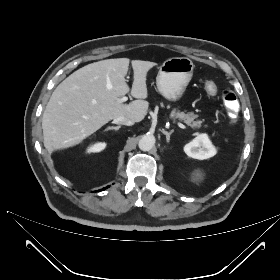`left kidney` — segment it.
Instances as JSON below:
<instances>
[{
	"label": "left kidney",
	"instance_id": "left-kidney-1",
	"mask_svg": "<svg viewBox=\"0 0 280 280\" xmlns=\"http://www.w3.org/2000/svg\"><path fill=\"white\" fill-rule=\"evenodd\" d=\"M184 152L191 158L204 160L213 157L217 151L207 134H200L184 146Z\"/></svg>",
	"mask_w": 280,
	"mask_h": 280
}]
</instances>
